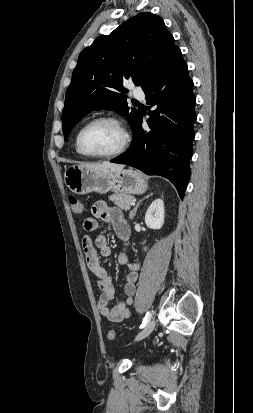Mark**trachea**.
Instances as JSON below:
<instances>
[{
	"instance_id": "trachea-1",
	"label": "trachea",
	"mask_w": 253,
	"mask_h": 413,
	"mask_svg": "<svg viewBox=\"0 0 253 413\" xmlns=\"http://www.w3.org/2000/svg\"><path fill=\"white\" fill-rule=\"evenodd\" d=\"M133 102H134V103H138V101H136V100H134Z\"/></svg>"
}]
</instances>
